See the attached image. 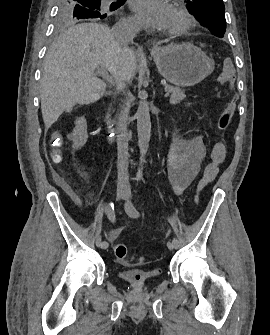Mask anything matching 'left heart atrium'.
I'll use <instances>...</instances> for the list:
<instances>
[{"label": "left heart atrium", "instance_id": "1", "mask_svg": "<svg viewBox=\"0 0 270 335\" xmlns=\"http://www.w3.org/2000/svg\"><path fill=\"white\" fill-rule=\"evenodd\" d=\"M132 8L150 35L173 31L176 28V12L165 0H134Z\"/></svg>", "mask_w": 270, "mask_h": 335}]
</instances>
